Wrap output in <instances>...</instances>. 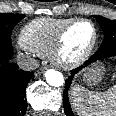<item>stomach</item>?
I'll list each match as a JSON object with an SVG mask.
<instances>
[{"mask_svg": "<svg viewBox=\"0 0 116 116\" xmlns=\"http://www.w3.org/2000/svg\"><path fill=\"white\" fill-rule=\"evenodd\" d=\"M103 68L101 66H95L87 70L83 75V79L86 83L92 85L98 83L102 79Z\"/></svg>", "mask_w": 116, "mask_h": 116, "instance_id": "0dacf381", "label": "stomach"}]
</instances>
